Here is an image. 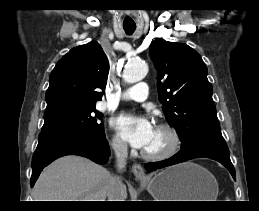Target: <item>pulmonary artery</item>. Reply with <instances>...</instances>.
<instances>
[{"mask_svg":"<svg viewBox=\"0 0 259 211\" xmlns=\"http://www.w3.org/2000/svg\"><path fill=\"white\" fill-rule=\"evenodd\" d=\"M148 96V86L146 83H138L128 89H126L121 98L127 101L143 102Z\"/></svg>","mask_w":259,"mask_h":211,"instance_id":"1","label":"pulmonary artery"}]
</instances>
